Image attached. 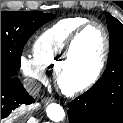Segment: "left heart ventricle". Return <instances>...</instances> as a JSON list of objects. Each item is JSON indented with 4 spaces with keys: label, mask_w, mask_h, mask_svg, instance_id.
Listing matches in <instances>:
<instances>
[{
    "label": "left heart ventricle",
    "mask_w": 123,
    "mask_h": 123,
    "mask_svg": "<svg viewBox=\"0 0 123 123\" xmlns=\"http://www.w3.org/2000/svg\"><path fill=\"white\" fill-rule=\"evenodd\" d=\"M103 44L102 32L95 25L89 27L78 38L67 70V81L78 83L93 74L101 56Z\"/></svg>",
    "instance_id": "obj_1"
}]
</instances>
